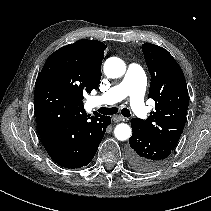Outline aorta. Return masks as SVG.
<instances>
[{
  "instance_id": "obj_1",
  "label": "aorta",
  "mask_w": 211,
  "mask_h": 211,
  "mask_svg": "<svg viewBox=\"0 0 211 211\" xmlns=\"http://www.w3.org/2000/svg\"><path fill=\"white\" fill-rule=\"evenodd\" d=\"M104 73L108 78H119L126 72L124 61L117 57H110L104 63ZM131 127L126 123H120L115 127L114 135L118 140L124 141L131 136Z\"/></svg>"
}]
</instances>
